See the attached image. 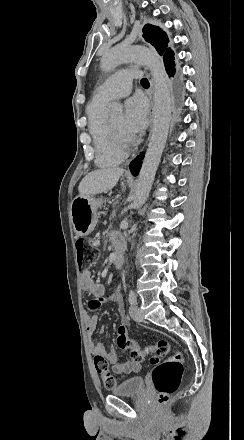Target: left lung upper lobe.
<instances>
[{"mask_svg":"<svg viewBox=\"0 0 244 440\" xmlns=\"http://www.w3.org/2000/svg\"><path fill=\"white\" fill-rule=\"evenodd\" d=\"M143 37L156 48L160 55H163L165 65L174 60V52L167 48L168 37L159 27L146 24L143 28Z\"/></svg>","mask_w":244,"mask_h":440,"instance_id":"1","label":"left lung upper lobe"}]
</instances>
